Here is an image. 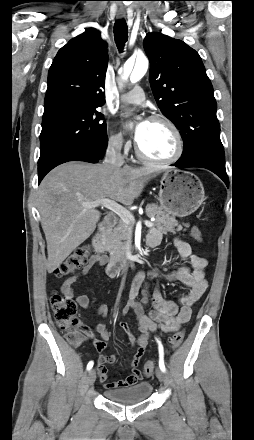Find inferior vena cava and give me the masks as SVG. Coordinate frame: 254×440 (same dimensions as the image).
Wrapping results in <instances>:
<instances>
[{
	"instance_id": "1",
	"label": "inferior vena cava",
	"mask_w": 254,
	"mask_h": 440,
	"mask_svg": "<svg viewBox=\"0 0 254 440\" xmlns=\"http://www.w3.org/2000/svg\"><path fill=\"white\" fill-rule=\"evenodd\" d=\"M121 139L113 140L109 143L105 163H109L114 167H121L124 164V156L121 154Z\"/></svg>"
}]
</instances>
